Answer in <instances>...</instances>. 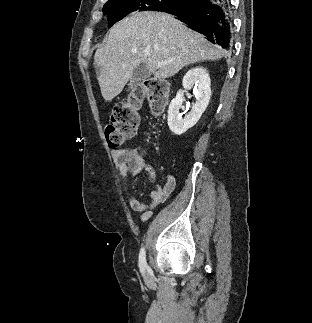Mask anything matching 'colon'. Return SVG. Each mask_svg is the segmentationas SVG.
Here are the masks:
<instances>
[{"label": "colon", "instance_id": "colon-1", "mask_svg": "<svg viewBox=\"0 0 312 323\" xmlns=\"http://www.w3.org/2000/svg\"><path fill=\"white\" fill-rule=\"evenodd\" d=\"M147 95L150 96L152 112L159 114L168 97L166 81L161 78L144 79L112 108L110 122L105 128V139L109 147L119 148L135 136L139 126L138 111Z\"/></svg>", "mask_w": 312, "mask_h": 323}]
</instances>
